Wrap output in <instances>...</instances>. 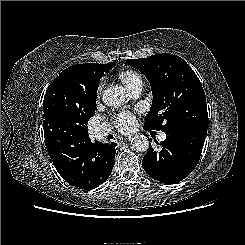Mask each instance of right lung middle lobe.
Segmentation results:
<instances>
[{"mask_svg":"<svg viewBox=\"0 0 245 245\" xmlns=\"http://www.w3.org/2000/svg\"><path fill=\"white\" fill-rule=\"evenodd\" d=\"M92 97H93V109L95 110L96 109V98H97L96 91L92 94ZM84 135H88L87 128L84 129Z\"/></svg>","mask_w":245,"mask_h":245,"instance_id":"dd1d6c3e","label":"right lung middle lobe"}]
</instances>
